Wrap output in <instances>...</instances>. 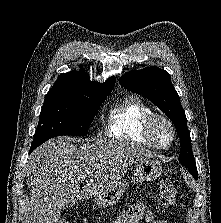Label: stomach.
<instances>
[{
    "mask_svg": "<svg viewBox=\"0 0 221 223\" xmlns=\"http://www.w3.org/2000/svg\"><path fill=\"white\" fill-rule=\"evenodd\" d=\"M162 173V166L156 159L140 160L135 168L134 180L154 181ZM126 190V185L117 183L110 190L95 197L94 203L99 207H111L116 205Z\"/></svg>",
    "mask_w": 221,
    "mask_h": 223,
    "instance_id": "0dacf381",
    "label": "stomach"
}]
</instances>
